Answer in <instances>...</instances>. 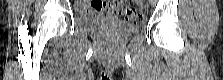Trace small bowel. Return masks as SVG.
Listing matches in <instances>:
<instances>
[{"instance_id": "obj_1", "label": "small bowel", "mask_w": 223, "mask_h": 80, "mask_svg": "<svg viewBox=\"0 0 223 80\" xmlns=\"http://www.w3.org/2000/svg\"><path fill=\"white\" fill-rule=\"evenodd\" d=\"M81 10L88 15L107 14L114 16L120 13V3L93 2L91 5L82 4Z\"/></svg>"}]
</instances>
